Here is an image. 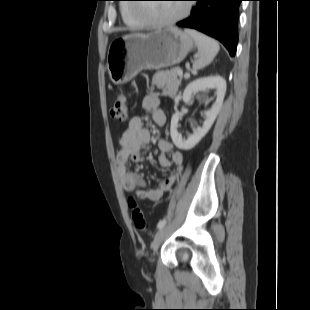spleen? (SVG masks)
Wrapping results in <instances>:
<instances>
[{"label": "spleen", "instance_id": "1", "mask_svg": "<svg viewBox=\"0 0 310 310\" xmlns=\"http://www.w3.org/2000/svg\"><path fill=\"white\" fill-rule=\"evenodd\" d=\"M185 32L194 39L198 48L199 58L194 62L193 68L199 70L206 67L219 52V44L214 39L196 30L186 29Z\"/></svg>", "mask_w": 310, "mask_h": 310}]
</instances>
